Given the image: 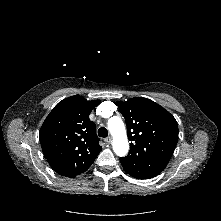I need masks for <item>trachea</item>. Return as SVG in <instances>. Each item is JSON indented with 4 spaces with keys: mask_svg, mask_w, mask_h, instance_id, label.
<instances>
[{
    "mask_svg": "<svg viewBox=\"0 0 221 221\" xmlns=\"http://www.w3.org/2000/svg\"><path fill=\"white\" fill-rule=\"evenodd\" d=\"M98 135L102 138H105L108 136V131L105 127H101L98 129Z\"/></svg>",
    "mask_w": 221,
    "mask_h": 221,
    "instance_id": "obj_1",
    "label": "trachea"
}]
</instances>
